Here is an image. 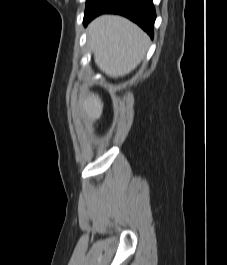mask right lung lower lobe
Instances as JSON below:
<instances>
[{"mask_svg": "<svg viewBox=\"0 0 227 265\" xmlns=\"http://www.w3.org/2000/svg\"><path fill=\"white\" fill-rule=\"evenodd\" d=\"M103 13L123 15L137 23L151 38L156 19L153 0H105L90 17L84 20L87 25L93 18Z\"/></svg>", "mask_w": 227, "mask_h": 265, "instance_id": "right-lung-lower-lobe-1", "label": "right lung lower lobe"}]
</instances>
